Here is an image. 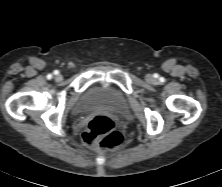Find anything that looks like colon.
Listing matches in <instances>:
<instances>
[{
  "label": "colon",
  "instance_id": "obj_1",
  "mask_svg": "<svg viewBox=\"0 0 222 187\" xmlns=\"http://www.w3.org/2000/svg\"><path fill=\"white\" fill-rule=\"evenodd\" d=\"M82 138L88 146L100 149H114L124 143V137L117 130L114 120L105 115L92 118L85 128Z\"/></svg>",
  "mask_w": 222,
  "mask_h": 187
}]
</instances>
